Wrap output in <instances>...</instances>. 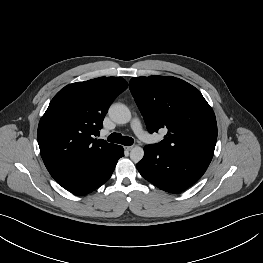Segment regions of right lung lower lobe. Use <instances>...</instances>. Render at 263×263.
<instances>
[{
  "label": "right lung lower lobe",
  "instance_id": "obj_1",
  "mask_svg": "<svg viewBox=\"0 0 263 263\" xmlns=\"http://www.w3.org/2000/svg\"><path fill=\"white\" fill-rule=\"evenodd\" d=\"M123 156V148L117 146L111 153L96 160L82 172L60 183V185L77 195L90 193L111 177L118 159Z\"/></svg>",
  "mask_w": 263,
  "mask_h": 263
}]
</instances>
